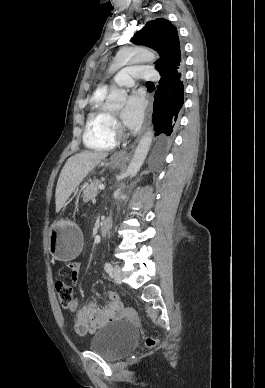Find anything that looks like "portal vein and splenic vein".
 <instances>
[{
	"mask_svg": "<svg viewBox=\"0 0 265 388\" xmlns=\"http://www.w3.org/2000/svg\"><path fill=\"white\" fill-rule=\"evenodd\" d=\"M99 190H104L105 186H103V184H100V186H98Z\"/></svg>",
	"mask_w": 265,
	"mask_h": 388,
	"instance_id": "obj_1",
	"label": "portal vein and splenic vein"
}]
</instances>
